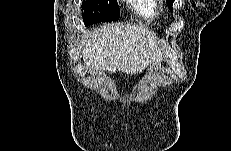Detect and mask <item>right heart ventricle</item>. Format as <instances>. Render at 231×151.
Masks as SVG:
<instances>
[{"label": "right heart ventricle", "instance_id": "1", "mask_svg": "<svg viewBox=\"0 0 231 151\" xmlns=\"http://www.w3.org/2000/svg\"><path fill=\"white\" fill-rule=\"evenodd\" d=\"M135 11L145 19H153L158 13V5L154 0L133 1Z\"/></svg>", "mask_w": 231, "mask_h": 151}]
</instances>
